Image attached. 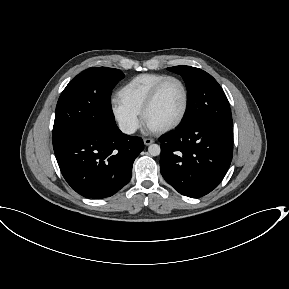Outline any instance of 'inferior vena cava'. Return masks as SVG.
Wrapping results in <instances>:
<instances>
[{
	"instance_id": "inferior-vena-cava-1",
	"label": "inferior vena cava",
	"mask_w": 289,
	"mask_h": 289,
	"mask_svg": "<svg viewBox=\"0 0 289 289\" xmlns=\"http://www.w3.org/2000/svg\"><path fill=\"white\" fill-rule=\"evenodd\" d=\"M119 129L125 134H133L137 130V126L131 123H120Z\"/></svg>"
}]
</instances>
